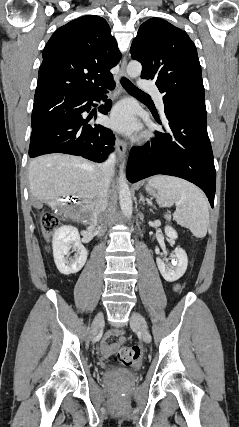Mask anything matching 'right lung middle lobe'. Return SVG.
<instances>
[{
    "label": "right lung middle lobe",
    "instance_id": "dd1d6c3e",
    "mask_svg": "<svg viewBox=\"0 0 239 427\" xmlns=\"http://www.w3.org/2000/svg\"><path fill=\"white\" fill-rule=\"evenodd\" d=\"M58 97H49L44 99L34 100L33 111H32V126L39 120L43 113L47 112L52 108Z\"/></svg>",
    "mask_w": 239,
    "mask_h": 427
}]
</instances>
